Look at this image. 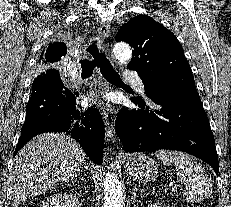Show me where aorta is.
<instances>
[{"mask_svg":"<svg viewBox=\"0 0 231 207\" xmlns=\"http://www.w3.org/2000/svg\"><path fill=\"white\" fill-rule=\"evenodd\" d=\"M113 55L119 62L127 63L132 58V50L126 43H117ZM103 207H124L122 184L114 173H107L104 179Z\"/></svg>","mask_w":231,"mask_h":207,"instance_id":"obj_1","label":"aorta"}]
</instances>
